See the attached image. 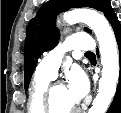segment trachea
<instances>
[{
    "mask_svg": "<svg viewBox=\"0 0 121 113\" xmlns=\"http://www.w3.org/2000/svg\"><path fill=\"white\" fill-rule=\"evenodd\" d=\"M85 54H93V52H86Z\"/></svg>",
    "mask_w": 121,
    "mask_h": 113,
    "instance_id": "1",
    "label": "trachea"
}]
</instances>
